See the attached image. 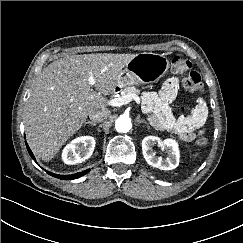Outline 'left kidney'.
I'll return each instance as SVG.
<instances>
[{
	"label": "left kidney",
	"mask_w": 243,
	"mask_h": 243,
	"mask_svg": "<svg viewBox=\"0 0 243 243\" xmlns=\"http://www.w3.org/2000/svg\"><path fill=\"white\" fill-rule=\"evenodd\" d=\"M155 145L163 148L167 157H157L153 147ZM142 152L146 162L152 167H156L161 170H172L175 169L179 164V149L178 144L173 139H165L162 141L156 136H147L142 140Z\"/></svg>",
	"instance_id": "5707ae66"
}]
</instances>
